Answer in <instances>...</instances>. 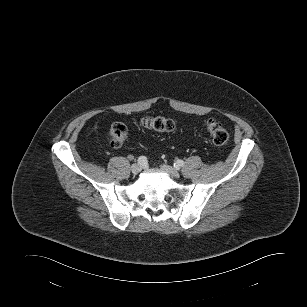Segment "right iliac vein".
Instances as JSON below:
<instances>
[{
	"mask_svg": "<svg viewBox=\"0 0 307 307\" xmlns=\"http://www.w3.org/2000/svg\"><path fill=\"white\" fill-rule=\"evenodd\" d=\"M142 170V166L139 163H135L131 166V171L134 175L138 174Z\"/></svg>",
	"mask_w": 307,
	"mask_h": 307,
	"instance_id": "obj_1",
	"label": "right iliac vein"
}]
</instances>
